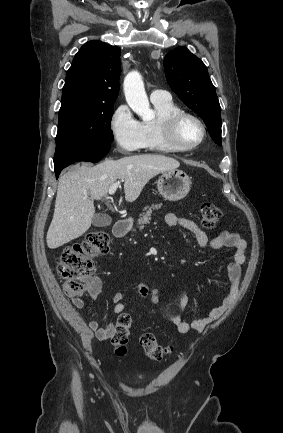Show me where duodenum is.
Returning <instances> with one entry per match:
<instances>
[{
  "instance_id": "1",
  "label": "duodenum",
  "mask_w": 283,
  "mask_h": 433,
  "mask_svg": "<svg viewBox=\"0 0 283 433\" xmlns=\"http://www.w3.org/2000/svg\"><path fill=\"white\" fill-rule=\"evenodd\" d=\"M128 231V223L124 220H118L113 227V234L115 237H123Z\"/></svg>"
}]
</instances>
